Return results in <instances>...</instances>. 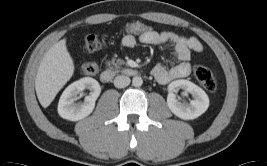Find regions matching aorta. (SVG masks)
Wrapping results in <instances>:
<instances>
[{
  "mask_svg": "<svg viewBox=\"0 0 267 166\" xmlns=\"http://www.w3.org/2000/svg\"><path fill=\"white\" fill-rule=\"evenodd\" d=\"M132 84L134 87H140L143 84V80L139 76H135L132 79Z\"/></svg>",
  "mask_w": 267,
  "mask_h": 166,
  "instance_id": "obj_1",
  "label": "aorta"
}]
</instances>
